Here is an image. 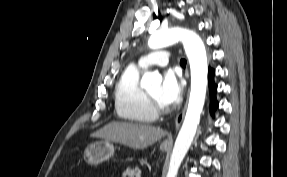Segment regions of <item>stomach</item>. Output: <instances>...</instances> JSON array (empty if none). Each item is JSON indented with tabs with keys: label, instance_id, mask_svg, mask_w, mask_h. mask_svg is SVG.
<instances>
[{
	"label": "stomach",
	"instance_id": "obj_1",
	"mask_svg": "<svg viewBox=\"0 0 287 177\" xmlns=\"http://www.w3.org/2000/svg\"><path fill=\"white\" fill-rule=\"evenodd\" d=\"M161 151H167L168 146L161 144ZM115 148L111 141H97L87 146L84 151V160L91 165L99 164L108 160L114 154Z\"/></svg>",
	"mask_w": 287,
	"mask_h": 177
}]
</instances>
